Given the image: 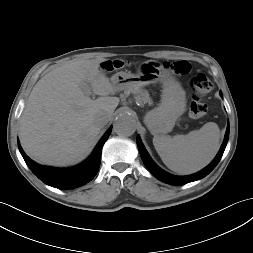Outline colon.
Wrapping results in <instances>:
<instances>
[{
    "label": "colon",
    "instance_id": "obj_1",
    "mask_svg": "<svg viewBox=\"0 0 253 253\" xmlns=\"http://www.w3.org/2000/svg\"><path fill=\"white\" fill-rule=\"evenodd\" d=\"M126 65L121 60L108 61L103 65L106 71H114ZM165 66L174 73L186 75L191 71V66L187 61H176L166 63ZM190 86L195 95L189 107V115L192 119L198 120L203 118L207 113V105L201 100V96L208 94L212 89L211 81L202 73L193 75L190 79Z\"/></svg>",
    "mask_w": 253,
    "mask_h": 253
}]
</instances>
